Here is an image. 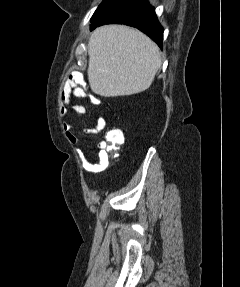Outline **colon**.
<instances>
[{
  "label": "colon",
  "instance_id": "1",
  "mask_svg": "<svg viewBox=\"0 0 240 287\" xmlns=\"http://www.w3.org/2000/svg\"><path fill=\"white\" fill-rule=\"evenodd\" d=\"M106 139L110 151L117 150L125 141L124 133L118 128L110 129L106 134Z\"/></svg>",
  "mask_w": 240,
  "mask_h": 287
}]
</instances>
